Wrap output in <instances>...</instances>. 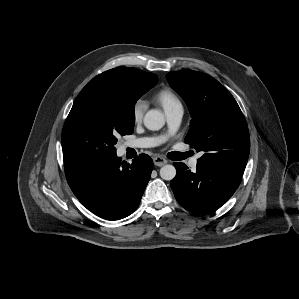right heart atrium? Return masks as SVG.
Wrapping results in <instances>:
<instances>
[{"label": "right heart atrium", "instance_id": "right-heart-atrium-1", "mask_svg": "<svg viewBox=\"0 0 299 299\" xmlns=\"http://www.w3.org/2000/svg\"><path fill=\"white\" fill-rule=\"evenodd\" d=\"M146 109V104L142 100H137L132 107V119L135 123L142 121L144 112Z\"/></svg>", "mask_w": 299, "mask_h": 299}]
</instances>
